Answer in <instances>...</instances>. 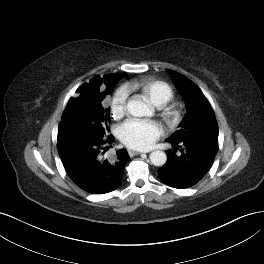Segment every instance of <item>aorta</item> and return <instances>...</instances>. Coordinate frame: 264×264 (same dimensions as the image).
<instances>
[{"label":"aorta","mask_w":264,"mask_h":264,"mask_svg":"<svg viewBox=\"0 0 264 264\" xmlns=\"http://www.w3.org/2000/svg\"><path fill=\"white\" fill-rule=\"evenodd\" d=\"M128 112L135 117L149 116L152 113L151 108L139 99H133L127 103ZM150 161L155 166H163L167 161L166 153L160 150L151 152Z\"/></svg>","instance_id":"obj_1"}]
</instances>
